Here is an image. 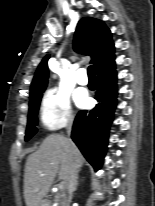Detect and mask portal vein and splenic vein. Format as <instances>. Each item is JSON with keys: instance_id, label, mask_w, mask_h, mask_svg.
Listing matches in <instances>:
<instances>
[{"instance_id": "portal-vein-and-splenic-vein-1", "label": "portal vein and splenic vein", "mask_w": 155, "mask_h": 206, "mask_svg": "<svg viewBox=\"0 0 155 206\" xmlns=\"http://www.w3.org/2000/svg\"><path fill=\"white\" fill-rule=\"evenodd\" d=\"M60 189H63L64 188V184H63V182L60 184Z\"/></svg>"}]
</instances>
